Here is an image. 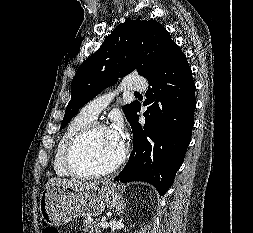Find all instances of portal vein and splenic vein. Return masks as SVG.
<instances>
[{
  "mask_svg": "<svg viewBox=\"0 0 253 233\" xmlns=\"http://www.w3.org/2000/svg\"><path fill=\"white\" fill-rule=\"evenodd\" d=\"M100 226L103 228H107L109 226V224L107 222L103 221L100 223Z\"/></svg>",
  "mask_w": 253,
  "mask_h": 233,
  "instance_id": "obj_1",
  "label": "portal vein and splenic vein"
}]
</instances>
